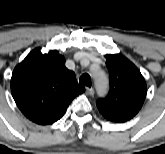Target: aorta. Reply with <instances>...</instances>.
I'll list each match as a JSON object with an SVG mask.
<instances>
[{
    "label": "aorta",
    "mask_w": 165,
    "mask_h": 154,
    "mask_svg": "<svg viewBox=\"0 0 165 154\" xmlns=\"http://www.w3.org/2000/svg\"><path fill=\"white\" fill-rule=\"evenodd\" d=\"M95 83L99 94H105L108 90V78L103 71H97L93 73Z\"/></svg>",
    "instance_id": "aorta-1"
}]
</instances>
